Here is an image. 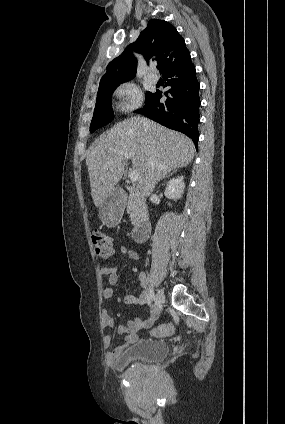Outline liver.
Returning <instances> with one entry per match:
<instances>
[{
	"mask_svg": "<svg viewBox=\"0 0 285 424\" xmlns=\"http://www.w3.org/2000/svg\"><path fill=\"white\" fill-rule=\"evenodd\" d=\"M130 154L132 168L139 174L138 188L149 196L156 182L177 168L187 166L193 159L192 140L182 133L170 130L143 117H133L114 125L86 152L91 195L99 207L123 176L125 158L118 153ZM155 165L151 166V160ZM110 162V163H108Z\"/></svg>",
	"mask_w": 285,
	"mask_h": 424,
	"instance_id": "1",
	"label": "liver"
}]
</instances>
